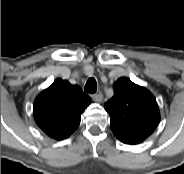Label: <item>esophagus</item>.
Segmentation results:
<instances>
[{"instance_id": "34e87169", "label": "esophagus", "mask_w": 184, "mask_h": 174, "mask_svg": "<svg viewBox=\"0 0 184 174\" xmlns=\"http://www.w3.org/2000/svg\"><path fill=\"white\" fill-rule=\"evenodd\" d=\"M92 99L95 102H102V100H103V94L101 92L96 93V94H93L92 95Z\"/></svg>"}]
</instances>
